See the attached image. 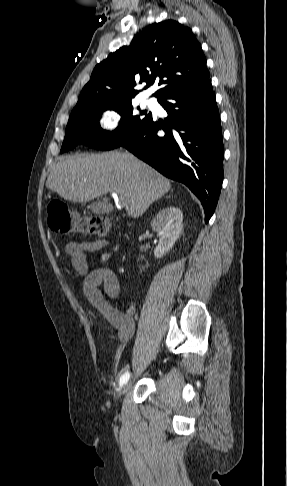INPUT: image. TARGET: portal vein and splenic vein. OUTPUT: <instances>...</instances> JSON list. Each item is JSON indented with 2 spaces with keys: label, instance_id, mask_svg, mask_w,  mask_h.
Returning <instances> with one entry per match:
<instances>
[{
  "label": "portal vein and splenic vein",
  "instance_id": "18ae733b",
  "mask_svg": "<svg viewBox=\"0 0 287 486\" xmlns=\"http://www.w3.org/2000/svg\"><path fill=\"white\" fill-rule=\"evenodd\" d=\"M112 195H116V193H112ZM118 202H119L120 205H123V206L127 205V199H125L124 197L119 196Z\"/></svg>",
  "mask_w": 287,
  "mask_h": 486
}]
</instances>
